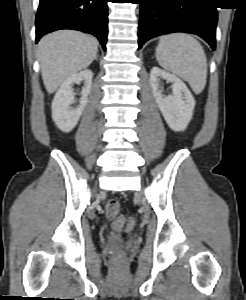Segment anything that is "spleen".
I'll use <instances>...</instances> for the list:
<instances>
[{
	"label": "spleen",
	"instance_id": "3e777b00",
	"mask_svg": "<svg viewBox=\"0 0 246 300\" xmlns=\"http://www.w3.org/2000/svg\"><path fill=\"white\" fill-rule=\"evenodd\" d=\"M156 59L165 70L187 81L200 94L207 79V59L203 47L186 33L163 35L156 48Z\"/></svg>",
	"mask_w": 246,
	"mask_h": 300
}]
</instances>
